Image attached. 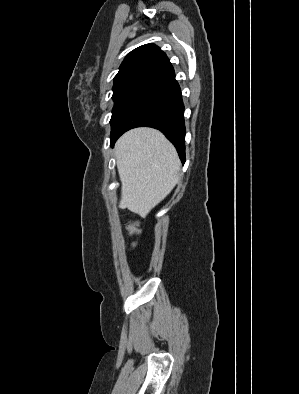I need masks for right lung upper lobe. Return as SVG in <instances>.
<instances>
[{"label": "right lung upper lobe", "instance_id": "right-lung-upper-lobe-1", "mask_svg": "<svg viewBox=\"0 0 299 394\" xmlns=\"http://www.w3.org/2000/svg\"><path fill=\"white\" fill-rule=\"evenodd\" d=\"M174 73L166 54L155 44L142 45L131 51L114 77V88L144 86L150 88Z\"/></svg>", "mask_w": 299, "mask_h": 394}]
</instances>
